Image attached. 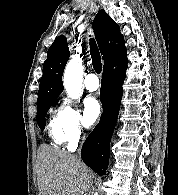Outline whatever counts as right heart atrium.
<instances>
[{"label": "right heart atrium", "instance_id": "d8ad5b80", "mask_svg": "<svg viewBox=\"0 0 178 195\" xmlns=\"http://www.w3.org/2000/svg\"><path fill=\"white\" fill-rule=\"evenodd\" d=\"M59 115L61 129L66 142L69 144L81 142L85 137V131L83 118L79 111L69 101L64 100Z\"/></svg>", "mask_w": 178, "mask_h": 195}]
</instances>
